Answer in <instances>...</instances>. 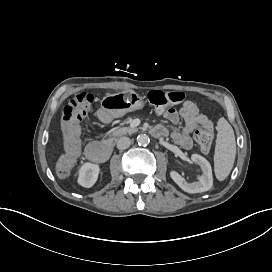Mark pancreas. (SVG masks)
Wrapping results in <instances>:
<instances>
[{
	"label": "pancreas",
	"mask_w": 272,
	"mask_h": 272,
	"mask_svg": "<svg viewBox=\"0 0 272 272\" xmlns=\"http://www.w3.org/2000/svg\"><path fill=\"white\" fill-rule=\"evenodd\" d=\"M138 131V128H131V127H121L117 128L113 133L111 137V141H117L118 138H120L123 135H130L133 133H136Z\"/></svg>",
	"instance_id": "pancreas-1"
}]
</instances>
